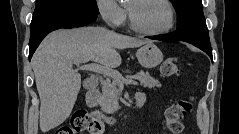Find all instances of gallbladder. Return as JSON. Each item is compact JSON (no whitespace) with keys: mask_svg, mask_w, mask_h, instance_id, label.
Masks as SVG:
<instances>
[{"mask_svg":"<svg viewBox=\"0 0 239 134\" xmlns=\"http://www.w3.org/2000/svg\"><path fill=\"white\" fill-rule=\"evenodd\" d=\"M91 84H90V82H87V83H85V88H90L91 86H90Z\"/></svg>","mask_w":239,"mask_h":134,"instance_id":"bac80fb5","label":"gallbladder"}]
</instances>
